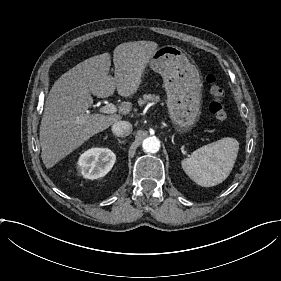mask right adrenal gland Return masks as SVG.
Returning a JSON list of instances; mask_svg holds the SVG:
<instances>
[{"mask_svg": "<svg viewBox=\"0 0 281 281\" xmlns=\"http://www.w3.org/2000/svg\"><path fill=\"white\" fill-rule=\"evenodd\" d=\"M117 141H118L119 143H124V141H122V140L119 139L118 137H117Z\"/></svg>", "mask_w": 281, "mask_h": 281, "instance_id": "obj_1", "label": "right adrenal gland"}]
</instances>
